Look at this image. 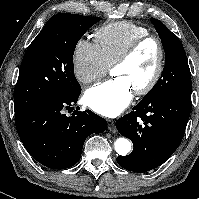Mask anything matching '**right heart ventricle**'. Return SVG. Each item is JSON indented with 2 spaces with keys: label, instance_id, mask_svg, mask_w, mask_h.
<instances>
[{
  "label": "right heart ventricle",
  "instance_id": "obj_1",
  "mask_svg": "<svg viewBox=\"0 0 199 199\" xmlns=\"http://www.w3.org/2000/svg\"><path fill=\"white\" fill-rule=\"evenodd\" d=\"M147 34L148 30L141 25L119 21L100 27L94 37L105 63L110 67L134 40Z\"/></svg>",
  "mask_w": 199,
  "mask_h": 199
}]
</instances>
